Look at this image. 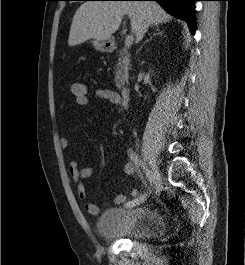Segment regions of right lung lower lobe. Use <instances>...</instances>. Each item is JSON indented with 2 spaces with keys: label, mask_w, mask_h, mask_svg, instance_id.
Returning a JSON list of instances; mask_svg holds the SVG:
<instances>
[{
  "label": "right lung lower lobe",
  "mask_w": 245,
  "mask_h": 265,
  "mask_svg": "<svg viewBox=\"0 0 245 265\" xmlns=\"http://www.w3.org/2000/svg\"><path fill=\"white\" fill-rule=\"evenodd\" d=\"M117 1H157L170 14L185 20L188 23L192 34L195 33L194 1L197 0H117Z\"/></svg>",
  "instance_id": "right-lung-lower-lobe-1"
}]
</instances>
